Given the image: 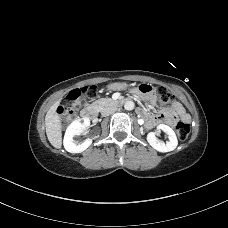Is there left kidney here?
<instances>
[{
  "label": "left kidney",
  "instance_id": "left-kidney-1",
  "mask_svg": "<svg viewBox=\"0 0 228 228\" xmlns=\"http://www.w3.org/2000/svg\"><path fill=\"white\" fill-rule=\"evenodd\" d=\"M160 130L164 131L168 135L169 141L167 143H164L163 141L157 139L156 132H150L147 135L148 143L159 152L173 151L178 145V140L175 132L172 128L165 124H160L157 126V131Z\"/></svg>",
  "mask_w": 228,
  "mask_h": 228
}]
</instances>
